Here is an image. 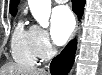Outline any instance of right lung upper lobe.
I'll use <instances>...</instances> for the list:
<instances>
[{
    "mask_svg": "<svg viewBox=\"0 0 102 75\" xmlns=\"http://www.w3.org/2000/svg\"><path fill=\"white\" fill-rule=\"evenodd\" d=\"M18 3H19V0H10V13L12 15L16 14Z\"/></svg>",
    "mask_w": 102,
    "mask_h": 75,
    "instance_id": "obj_1",
    "label": "right lung upper lobe"
}]
</instances>
